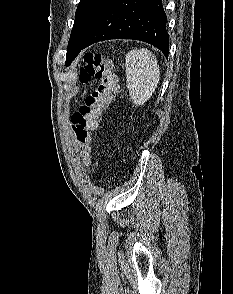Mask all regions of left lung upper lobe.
Instances as JSON below:
<instances>
[{
    "instance_id": "left-lung-upper-lobe-1",
    "label": "left lung upper lobe",
    "mask_w": 233,
    "mask_h": 294,
    "mask_svg": "<svg viewBox=\"0 0 233 294\" xmlns=\"http://www.w3.org/2000/svg\"><path fill=\"white\" fill-rule=\"evenodd\" d=\"M111 0H81L75 14L68 42L66 62L69 66L82 50L84 41Z\"/></svg>"
}]
</instances>
